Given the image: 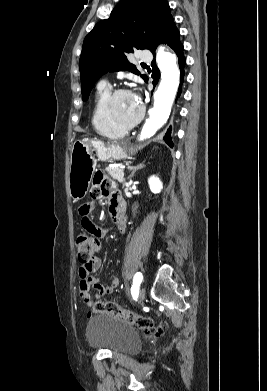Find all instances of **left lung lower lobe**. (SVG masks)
Instances as JSON below:
<instances>
[{"instance_id":"left-lung-lower-lobe-1","label":"left lung lower lobe","mask_w":267,"mask_h":391,"mask_svg":"<svg viewBox=\"0 0 267 391\" xmlns=\"http://www.w3.org/2000/svg\"><path fill=\"white\" fill-rule=\"evenodd\" d=\"M179 36H180V33H179L177 27L174 26L170 29V31L167 33V35L164 37V39L161 42V43H166L167 45H169L175 51V53L178 57V63H179L180 71H181V82H180L178 96L181 93V85H182L183 78H184V66L186 63V59L183 54V45L180 42ZM155 50H156V47H154L151 50V52L153 53L154 56H155ZM151 66H152V78L154 79V81L152 83L155 86L159 80V77H160V72H159L158 67L156 66L155 59L152 61ZM164 141L170 147H173V143L171 140V128H169L167 130V133L164 136Z\"/></svg>"}]
</instances>
